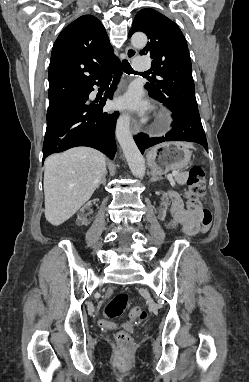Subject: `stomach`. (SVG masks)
Instances as JSON below:
<instances>
[{
	"instance_id": "0dacf381",
	"label": "stomach",
	"mask_w": 249,
	"mask_h": 382,
	"mask_svg": "<svg viewBox=\"0 0 249 382\" xmlns=\"http://www.w3.org/2000/svg\"><path fill=\"white\" fill-rule=\"evenodd\" d=\"M191 159L188 145L182 142H166L151 148L147 161L151 170L159 175L170 170L185 168Z\"/></svg>"
}]
</instances>
